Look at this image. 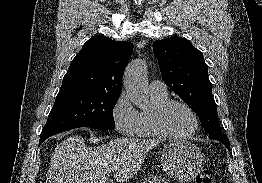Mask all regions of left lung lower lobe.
<instances>
[{"label": "left lung lower lobe", "instance_id": "0a47b994", "mask_svg": "<svg viewBox=\"0 0 262 183\" xmlns=\"http://www.w3.org/2000/svg\"><path fill=\"white\" fill-rule=\"evenodd\" d=\"M218 141L222 142L227 147V149L230 151V143H229V140L227 138L226 139H219Z\"/></svg>", "mask_w": 262, "mask_h": 183}]
</instances>
